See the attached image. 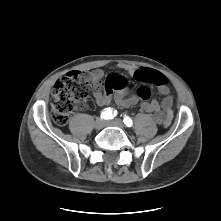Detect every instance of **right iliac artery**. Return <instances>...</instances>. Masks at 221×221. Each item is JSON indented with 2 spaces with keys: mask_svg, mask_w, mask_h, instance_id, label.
I'll return each instance as SVG.
<instances>
[{
  "mask_svg": "<svg viewBox=\"0 0 221 221\" xmlns=\"http://www.w3.org/2000/svg\"><path fill=\"white\" fill-rule=\"evenodd\" d=\"M114 113H115V111H114ZM101 118L105 119V120L113 119L114 115H113L112 110L109 108V109H106L105 111H103L101 113Z\"/></svg>",
  "mask_w": 221,
  "mask_h": 221,
  "instance_id": "right-iliac-artery-1",
  "label": "right iliac artery"
}]
</instances>
